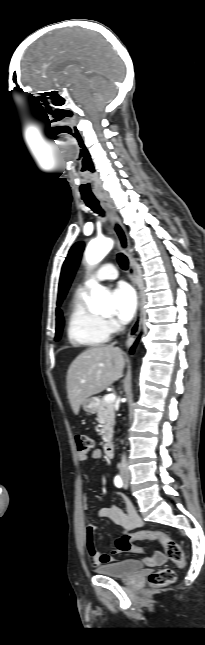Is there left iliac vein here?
<instances>
[{
	"label": "left iliac vein",
	"mask_w": 205,
	"mask_h": 645,
	"mask_svg": "<svg viewBox=\"0 0 205 645\" xmlns=\"http://www.w3.org/2000/svg\"><path fill=\"white\" fill-rule=\"evenodd\" d=\"M124 488H125V489H127V488H128V478H126V479L124 480Z\"/></svg>",
	"instance_id": "obj_1"
}]
</instances>
